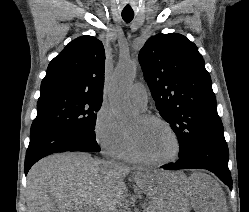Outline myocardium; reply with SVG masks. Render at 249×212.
<instances>
[{
	"label": "myocardium",
	"instance_id": "obj_1",
	"mask_svg": "<svg viewBox=\"0 0 249 212\" xmlns=\"http://www.w3.org/2000/svg\"><path fill=\"white\" fill-rule=\"evenodd\" d=\"M140 118L144 121V122H156L159 123L161 125H163L174 137L175 141H176V152L174 154V156L170 159L167 160H163V161H151V160H147L145 158H143L140 154H138V152L135 150L130 137L128 136V150L130 153L131 158L142 165L145 166H149V167H163V166H167L170 164L175 163L181 156L182 154V143H181V139L177 133V131L175 130V128L164 118L156 116V115H142L140 116Z\"/></svg>",
	"mask_w": 249,
	"mask_h": 212
}]
</instances>
